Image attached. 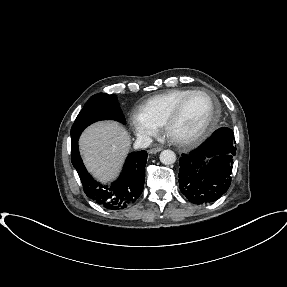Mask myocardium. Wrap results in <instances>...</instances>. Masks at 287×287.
I'll return each instance as SVG.
<instances>
[{"label":"myocardium","mask_w":287,"mask_h":287,"mask_svg":"<svg viewBox=\"0 0 287 287\" xmlns=\"http://www.w3.org/2000/svg\"><path fill=\"white\" fill-rule=\"evenodd\" d=\"M201 94L205 95L209 98L211 102V112L209 115V119L206 122L205 126L197 133L182 137V138H175L171 136L170 129L172 125L176 122V120L179 118L182 109L186 102L194 95ZM218 115H219V107L215 100V98L207 91L204 90H193L190 93H188L186 96H184L173 108V110L170 112V114L166 117L164 123H163V130L166 136L172 140L174 143L181 145V146H189L197 144L201 141H203L206 137L210 135V133L214 130L217 121H218Z\"/></svg>","instance_id":"f54148a6"}]
</instances>
